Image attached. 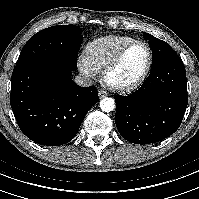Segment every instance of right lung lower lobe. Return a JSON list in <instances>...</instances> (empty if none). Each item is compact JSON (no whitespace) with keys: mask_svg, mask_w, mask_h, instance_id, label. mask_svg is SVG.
Here are the masks:
<instances>
[{"mask_svg":"<svg viewBox=\"0 0 199 199\" xmlns=\"http://www.w3.org/2000/svg\"><path fill=\"white\" fill-rule=\"evenodd\" d=\"M71 74L57 63L36 64L12 74L11 108L19 128L32 141L46 146L68 143L98 102L95 86L81 87Z\"/></svg>","mask_w":199,"mask_h":199,"instance_id":"1","label":"right lung lower lobe"}]
</instances>
